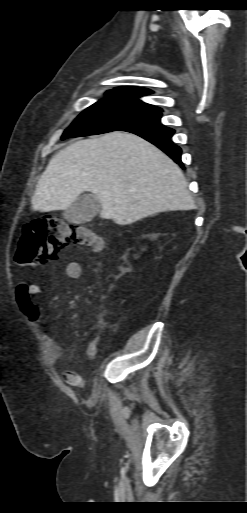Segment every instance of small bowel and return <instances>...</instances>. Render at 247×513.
<instances>
[{
	"instance_id": "c3829d8e",
	"label": "small bowel",
	"mask_w": 247,
	"mask_h": 513,
	"mask_svg": "<svg viewBox=\"0 0 247 513\" xmlns=\"http://www.w3.org/2000/svg\"><path fill=\"white\" fill-rule=\"evenodd\" d=\"M81 264L77 261H70L65 265L64 275L69 279H78L81 276ZM40 292L38 285H26L21 283L16 291V300L21 312L31 322L40 324L43 314L40 308L33 302L32 297ZM43 337L47 343V356L50 362H57L63 355V346L48 333H44ZM85 355L88 359H92L96 355L93 345H88ZM68 385L80 387L82 379L76 371L70 370L63 374Z\"/></svg>"
}]
</instances>
